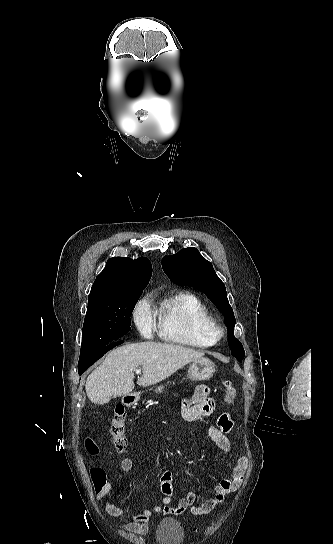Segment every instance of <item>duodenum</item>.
I'll return each instance as SVG.
<instances>
[{
  "mask_svg": "<svg viewBox=\"0 0 333 544\" xmlns=\"http://www.w3.org/2000/svg\"><path fill=\"white\" fill-rule=\"evenodd\" d=\"M124 402L128 406H132L135 403V397L132 395H127L124 398Z\"/></svg>",
  "mask_w": 333,
  "mask_h": 544,
  "instance_id": "duodenum-1",
  "label": "duodenum"
}]
</instances>
